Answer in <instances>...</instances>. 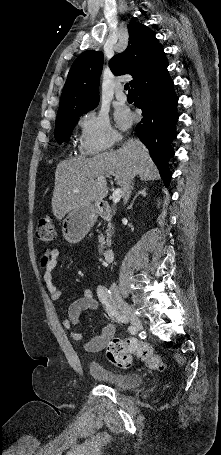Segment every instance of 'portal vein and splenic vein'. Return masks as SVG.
I'll use <instances>...</instances> for the list:
<instances>
[{
    "label": "portal vein and splenic vein",
    "instance_id": "18ae733b",
    "mask_svg": "<svg viewBox=\"0 0 221 455\" xmlns=\"http://www.w3.org/2000/svg\"><path fill=\"white\" fill-rule=\"evenodd\" d=\"M105 177L104 176H98L96 178L97 181H102ZM121 196H122V190L120 188H117L114 190L113 194H112V201L114 204H117L120 199H121Z\"/></svg>",
    "mask_w": 221,
    "mask_h": 455
}]
</instances>
